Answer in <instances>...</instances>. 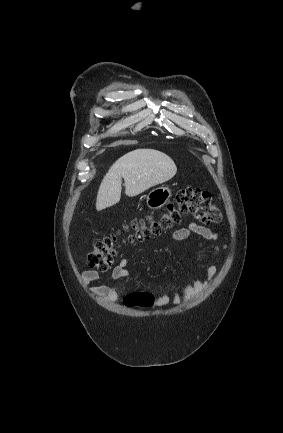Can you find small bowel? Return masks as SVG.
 Here are the masks:
<instances>
[{"mask_svg":"<svg viewBox=\"0 0 283 433\" xmlns=\"http://www.w3.org/2000/svg\"><path fill=\"white\" fill-rule=\"evenodd\" d=\"M192 235H197L212 244L213 252L217 254L220 249H225V245H218V234L211 229L199 225L195 222H190L187 226L176 229L172 232V239L174 241H183L188 239ZM128 259L123 258L120 262L113 268L109 278L111 280H119L127 278L130 272L127 269ZM217 268L214 265H209L205 269V279H196L192 283L185 285L182 292L174 290L170 293H164L155 299L157 305H167L173 303L175 306H180L183 300H190L196 295H198L208 284L209 281L213 279L216 275ZM101 279V275L96 270H87L83 273V281L86 285H90L92 282ZM90 291L92 294L102 297L109 302H115L118 299V292L116 287L113 285H98L91 286Z\"/></svg>","mask_w":283,"mask_h":433,"instance_id":"1","label":"small bowel"}]
</instances>
